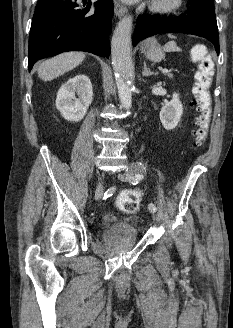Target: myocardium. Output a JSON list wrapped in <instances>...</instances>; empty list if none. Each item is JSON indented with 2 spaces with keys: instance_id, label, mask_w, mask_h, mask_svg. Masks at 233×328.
I'll return each instance as SVG.
<instances>
[{
  "instance_id": "1",
  "label": "myocardium",
  "mask_w": 233,
  "mask_h": 328,
  "mask_svg": "<svg viewBox=\"0 0 233 328\" xmlns=\"http://www.w3.org/2000/svg\"><path fill=\"white\" fill-rule=\"evenodd\" d=\"M183 0H152L151 9L158 13H175L182 8Z\"/></svg>"
}]
</instances>
